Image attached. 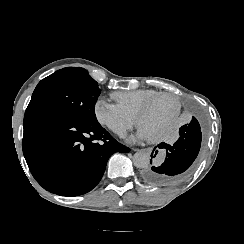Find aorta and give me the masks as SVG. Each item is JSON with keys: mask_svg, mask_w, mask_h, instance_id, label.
<instances>
[{"mask_svg": "<svg viewBox=\"0 0 244 244\" xmlns=\"http://www.w3.org/2000/svg\"><path fill=\"white\" fill-rule=\"evenodd\" d=\"M150 157L145 152H136L133 155V164L137 168H146L149 164Z\"/></svg>", "mask_w": 244, "mask_h": 244, "instance_id": "aorta-1", "label": "aorta"}]
</instances>
